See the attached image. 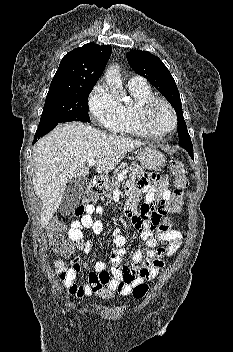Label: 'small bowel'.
<instances>
[{
	"mask_svg": "<svg viewBox=\"0 0 233 352\" xmlns=\"http://www.w3.org/2000/svg\"><path fill=\"white\" fill-rule=\"evenodd\" d=\"M129 204L126 209L127 217L140 232L141 239L149 248L146 253L136 250L132 254V264L122 265L121 258L125 254L124 245L126 238L119 229L113 231V242L115 247L111 250V276L106 271L107 265L104 261L95 264V272L108 275L107 287L115 289L121 294H129L133 287L139 283L150 280V275L155 276L164 266V259L173 255L180 247L182 235L179 231L171 228L170 223L162 221L161 204L169 201L171 192L166 181L157 173H147L127 187ZM141 192L145 194L140 210L136 208L140 200ZM103 209L100 206L89 204L86 206V213L79 220L71 222L68 237L78 244L85 254L92 251L91 241L83 244V230L92 229L94 233L100 234L104 225L101 220L94 219V214H101ZM162 242H168L167 247H159ZM81 271L80 258L75 257L71 261V272L68 277L62 279L63 285L68 293L77 298L89 297L91 289L86 284H79L77 276Z\"/></svg>",
	"mask_w": 233,
	"mask_h": 352,
	"instance_id": "obj_1",
	"label": "small bowel"
}]
</instances>
